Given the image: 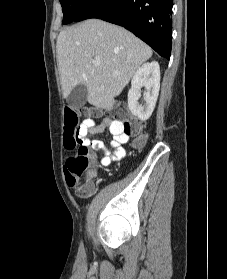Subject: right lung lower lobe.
<instances>
[{"instance_id":"obj_1","label":"right lung lower lobe","mask_w":227,"mask_h":279,"mask_svg":"<svg viewBox=\"0 0 227 279\" xmlns=\"http://www.w3.org/2000/svg\"><path fill=\"white\" fill-rule=\"evenodd\" d=\"M173 0H88L74 21L98 18L125 27L170 59Z\"/></svg>"}]
</instances>
